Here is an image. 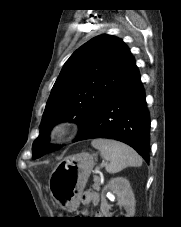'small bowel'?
<instances>
[{"mask_svg":"<svg viewBox=\"0 0 181 227\" xmlns=\"http://www.w3.org/2000/svg\"><path fill=\"white\" fill-rule=\"evenodd\" d=\"M100 201V196L98 192L96 191H86L83 196H82V202L85 205H90V204H98ZM84 215H89L88 212H84ZM95 215L99 216L100 213H96Z\"/></svg>","mask_w":181,"mask_h":227,"instance_id":"1","label":"small bowel"}]
</instances>
